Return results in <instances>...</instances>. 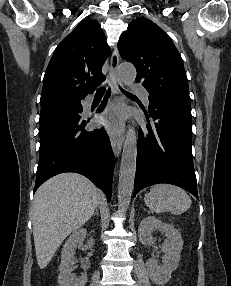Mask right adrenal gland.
Wrapping results in <instances>:
<instances>
[{
    "label": "right adrenal gland",
    "mask_w": 231,
    "mask_h": 286,
    "mask_svg": "<svg viewBox=\"0 0 231 286\" xmlns=\"http://www.w3.org/2000/svg\"><path fill=\"white\" fill-rule=\"evenodd\" d=\"M95 215H99V212H98V205L96 206V209H95V212L93 213V216H95Z\"/></svg>",
    "instance_id": "obj_1"
}]
</instances>
